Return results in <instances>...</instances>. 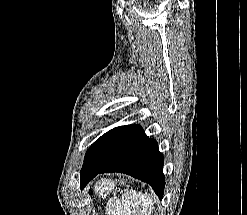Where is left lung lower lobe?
Wrapping results in <instances>:
<instances>
[{"label": "left lung lower lobe", "mask_w": 247, "mask_h": 215, "mask_svg": "<svg viewBox=\"0 0 247 215\" xmlns=\"http://www.w3.org/2000/svg\"><path fill=\"white\" fill-rule=\"evenodd\" d=\"M84 162L81 189L100 173L121 172L149 183L162 199L163 155L139 125L119 126L105 133L89 148Z\"/></svg>", "instance_id": "left-lung-lower-lobe-1"}]
</instances>
